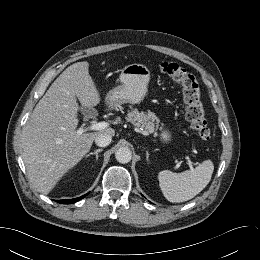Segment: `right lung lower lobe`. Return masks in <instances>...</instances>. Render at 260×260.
Listing matches in <instances>:
<instances>
[{
    "mask_svg": "<svg viewBox=\"0 0 260 260\" xmlns=\"http://www.w3.org/2000/svg\"><path fill=\"white\" fill-rule=\"evenodd\" d=\"M87 194L78 197V198H74V199H66V200H57V202L62 203V204H73L76 201H79L80 199L84 198Z\"/></svg>",
    "mask_w": 260,
    "mask_h": 260,
    "instance_id": "1",
    "label": "right lung lower lobe"
}]
</instances>
